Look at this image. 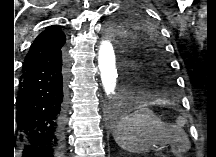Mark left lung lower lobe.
Returning <instances> with one entry per match:
<instances>
[{
    "mask_svg": "<svg viewBox=\"0 0 216 157\" xmlns=\"http://www.w3.org/2000/svg\"><path fill=\"white\" fill-rule=\"evenodd\" d=\"M123 83H124V88L127 89L124 73H123ZM120 117H121L120 111H118L117 109L114 108L113 112H112V118H113V120L114 121L119 120Z\"/></svg>",
    "mask_w": 216,
    "mask_h": 157,
    "instance_id": "0a47b994",
    "label": "left lung lower lobe"
}]
</instances>
